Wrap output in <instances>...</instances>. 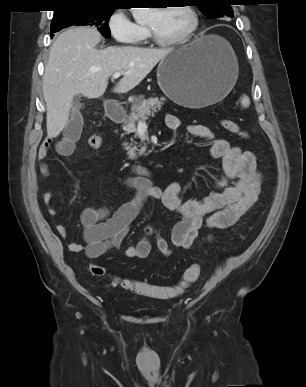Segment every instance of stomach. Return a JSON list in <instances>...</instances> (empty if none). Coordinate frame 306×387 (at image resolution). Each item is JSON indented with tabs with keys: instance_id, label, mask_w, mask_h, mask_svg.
Here are the masks:
<instances>
[{
	"instance_id": "obj_1",
	"label": "stomach",
	"mask_w": 306,
	"mask_h": 387,
	"mask_svg": "<svg viewBox=\"0 0 306 387\" xmlns=\"http://www.w3.org/2000/svg\"><path fill=\"white\" fill-rule=\"evenodd\" d=\"M238 64L230 44L217 35H203L171 51L157 68V82L175 103L202 108L222 100L234 87Z\"/></svg>"
}]
</instances>
